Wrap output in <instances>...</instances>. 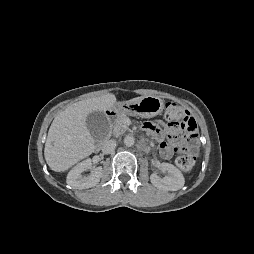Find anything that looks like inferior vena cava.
<instances>
[{
    "mask_svg": "<svg viewBox=\"0 0 254 254\" xmlns=\"http://www.w3.org/2000/svg\"><path fill=\"white\" fill-rule=\"evenodd\" d=\"M116 145V140H108L102 145V152L105 154L112 153L115 150Z\"/></svg>",
    "mask_w": 254,
    "mask_h": 254,
    "instance_id": "inferior-vena-cava-1",
    "label": "inferior vena cava"
}]
</instances>
